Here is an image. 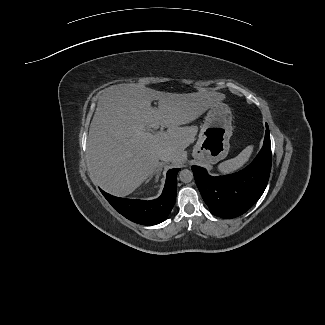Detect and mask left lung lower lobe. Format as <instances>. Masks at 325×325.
<instances>
[{
	"instance_id": "left-lung-lower-lobe-1",
	"label": "left lung lower lobe",
	"mask_w": 325,
	"mask_h": 325,
	"mask_svg": "<svg viewBox=\"0 0 325 325\" xmlns=\"http://www.w3.org/2000/svg\"><path fill=\"white\" fill-rule=\"evenodd\" d=\"M271 162L270 134L266 124L263 147L245 169L217 177L210 176L199 166H192V171L211 213L229 219L245 213L261 197L267 186Z\"/></svg>"
}]
</instances>
